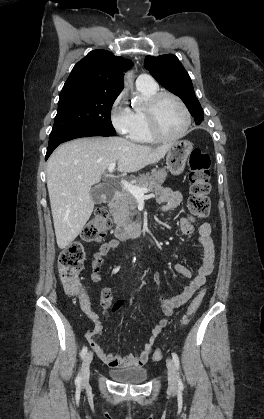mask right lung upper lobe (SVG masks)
Listing matches in <instances>:
<instances>
[{"instance_id":"obj_1","label":"right lung upper lobe","mask_w":264,"mask_h":419,"mask_svg":"<svg viewBox=\"0 0 264 419\" xmlns=\"http://www.w3.org/2000/svg\"><path fill=\"white\" fill-rule=\"evenodd\" d=\"M132 62L106 50L91 51L71 71L64 87L83 86L93 91L120 94L124 71Z\"/></svg>"}]
</instances>
